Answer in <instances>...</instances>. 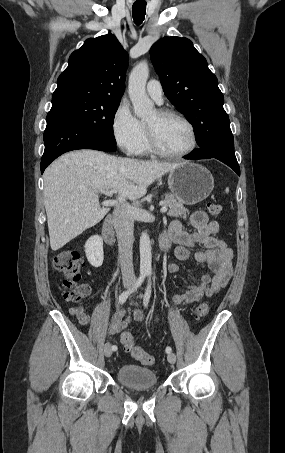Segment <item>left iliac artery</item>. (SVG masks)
Listing matches in <instances>:
<instances>
[{"label":"left iliac artery","mask_w":285,"mask_h":453,"mask_svg":"<svg viewBox=\"0 0 285 453\" xmlns=\"http://www.w3.org/2000/svg\"><path fill=\"white\" fill-rule=\"evenodd\" d=\"M148 276H149V279L151 277V273L149 272L148 273ZM150 297H151V283L150 281L148 282V285H147V288H146V291H145V294H144V298H143V304L145 307L148 306V303H149V300H150ZM166 353H170L172 351L171 347H166L165 349Z\"/></svg>","instance_id":"1"}]
</instances>
